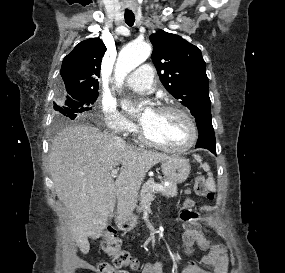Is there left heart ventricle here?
<instances>
[{
	"mask_svg": "<svg viewBox=\"0 0 285 273\" xmlns=\"http://www.w3.org/2000/svg\"><path fill=\"white\" fill-rule=\"evenodd\" d=\"M142 126L152 140L166 145H181L189 137L187 122L173 111H155L154 116Z\"/></svg>",
	"mask_w": 285,
	"mask_h": 273,
	"instance_id": "b2bd125f",
	"label": "left heart ventricle"
}]
</instances>
